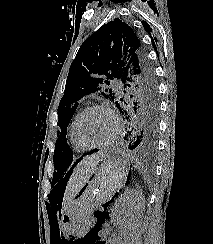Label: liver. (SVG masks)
<instances>
[{"mask_svg": "<svg viewBox=\"0 0 213 244\" xmlns=\"http://www.w3.org/2000/svg\"><path fill=\"white\" fill-rule=\"evenodd\" d=\"M103 152L86 156L74 168L72 175L67 183L66 191L64 194L62 211H66L72 199L77 195L78 191L88 182L93 175L94 170L99 164V159Z\"/></svg>", "mask_w": 213, "mask_h": 244, "instance_id": "liver-1", "label": "liver"}]
</instances>
